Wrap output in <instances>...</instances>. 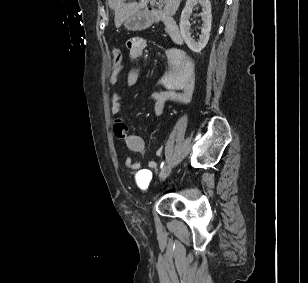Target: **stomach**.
I'll list each match as a JSON object with an SVG mask.
<instances>
[{
	"label": "stomach",
	"mask_w": 308,
	"mask_h": 283,
	"mask_svg": "<svg viewBox=\"0 0 308 283\" xmlns=\"http://www.w3.org/2000/svg\"><path fill=\"white\" fill-rule=\"evenodd\" d=\"M150 24L151 20L149 16L144 12L132 15L124 21V27L130 31H138L146 29L147 27L150 26Z\"/></svg>",
	"instance_id": "obj_1"
}]
</instances>
